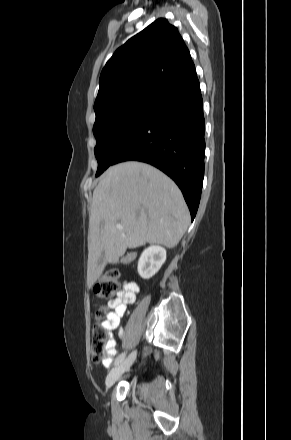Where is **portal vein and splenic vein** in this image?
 Instances as JSON below:
<instances>
[{
    "label": "portal vein and splenic vein",
    "instance_id": "portal-vein-and-splenic-vein-1",
    "mask_svg": "<svg viewBox=\"0 0 291 440\" xmlns=\"http://www.w3.org/2000/svg\"><path fill=\"white\" fill-rule=\"evenodd\" d=\"M117 228L122 229L123 226L122 225H117Z\"/></svg>",
    "mask_w": 291,
    "mask_h": 440
}]
</instances>
